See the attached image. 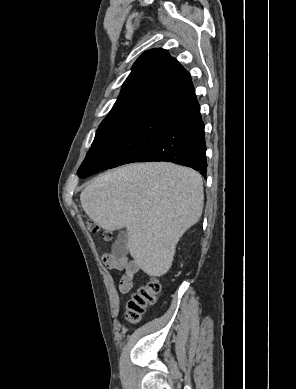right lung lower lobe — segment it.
I'll return each instance as SVG.
<instances>
[{"mask_svg": "<svg viewBox=\"0 0 296 389\" xmlns=\"http://www.w3.org/2000/svg\"><path fill=\"white\" fill-rule=\"evenodd\" d=\"M168 161L191 167L205 177L207 172L206 142L204 122L200 108L185 114L150 147L140 162ZM97 171L81 167L80 178L90 176Z\"/></svg>", "mask_w": 296, "mask_h": 389, "instance_id": "98d812e1", "label": "right lung lower lobe"}]
</instances>
